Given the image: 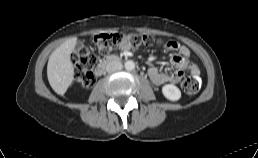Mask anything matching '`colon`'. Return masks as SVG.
<instances>
[{
    "label": "colon",
    "mask_w": 258,
    "mask_h": 158,
    "mask_svg": "<svg viewBox=\"0 0 258 158\" xmlns=\"http://www.w3.org/2000/svg\"><path fill=\"white\" fill-rule=\"evenodd\" d=\"M157 40L151 35L101 33L93 37L95 49L106 54L114 49H129L146 47L155 44ZM168 46V44H167ZM96 57L86 47L77 49L72 55L75 66V80L83 87H90L94 83L92 68L96 64ZM201 87V80L197 76H189L182 82V89L187 94H195Z\"/></svg>",
    "instance_id": "1"
}]
</instances>
